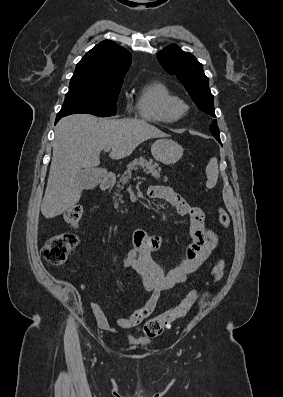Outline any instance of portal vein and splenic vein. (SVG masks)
<instances>
[{"label": "portal vein and splenic vein", "mask_w": 283, "mask_h": 397, "mask_svg": "<svg viewBox=\"0 0 283 397\" xmlns=\"http://www.w3.org/2000/svg\"><path fill=\"white\" fill-rule=\"evenodd\" d=\"M110 150H111V147H110V146L104 148V151H105V152H109Z\"/></svg>", "instance_id": "portal-vein-and-splenic-vein-1"}]
</instances>
